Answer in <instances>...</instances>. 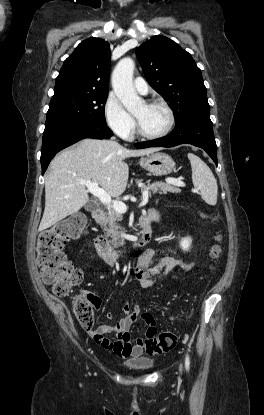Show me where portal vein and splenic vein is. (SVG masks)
<instances>
[{
  "label": "portal vein and splenic vein",
  "mask_w": 264,
  "mask_h": 415,
  "mask_svg": "<svg viewBox=\"0 0 264 415\" xmlns=\"http://www.w3.org/2000/svg\"><path fill=\"white\" fill-rule=\"evenodd\" d=\"M81 184L85 185L88 191L96 196L103 204L111 206L118 213H125L127 211V206L122 201H112L110 195L102 188L99 187L97 183H92L90 181H81ZM167 183L176 185L178 187H184L185 183L177 179H168ZM148 191L145 190L142 193V201L140 207L144 206L148 202Z\"/></svg>",
  "instance_id": "obj_1"
}]
</instances>
